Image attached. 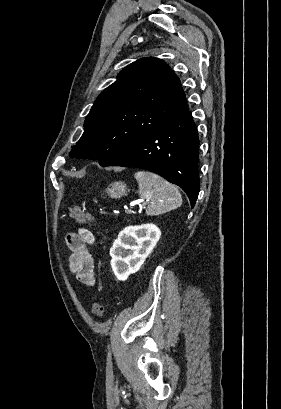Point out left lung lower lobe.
Returning <instances> with one entry per match:
<instances>
[{
  "label": "left lung lower lobe",
  "mask_w": 281,
  "mask_h": 409,
  "mask_svg": "<svg viewBox=\"0 0 281 409\" xmlns=\"http://www.w3.org/2000/svg\"><path fill=\"white\" fill-rule=\"evenodd\" d=\"M198 149L197 127L185 103L105 166L137 167L159 174L179 185L193 208L199 193Z\"/></svg>",
  "instance_id": "left-lung-lower-lobe-1"
}]
</instances>
